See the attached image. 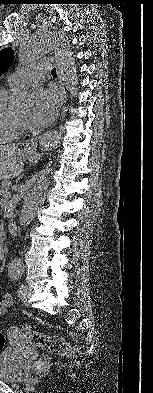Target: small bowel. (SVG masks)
Wrapping results in <instances>:
<instances>
[{
	"mask_svg": "<svg viewBox=\"0 0 153 393\" xmlns=\"http://www.w3.org/2000/svg\"><path fill=\"white\" fill-rule=\"evenodd\" d=\"M0 303H1V305H3L0 308V316H2V315L5 314L7 309L10 308L13 305L14 299H13L12 295L5 294V295H3ZM14 331H16V333H17V329H14Z\"/></svg>",
	"mask_w": 153,
	"mask_h": 393,
	"instance_id": "obj_1",
	"label": "small bowel"
}]
</instances>
